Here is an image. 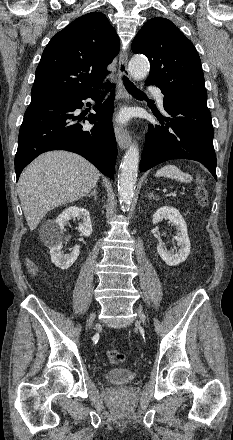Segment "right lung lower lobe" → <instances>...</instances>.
Segmentation results:
<instances>
[{
	"label": "right lung lower lobe",
	"instance_id": "1",
	"mask_svg": "<svg viewBox=\"0 0 233 440\" xmlns=\"http://www.w3.org/2000/svg\"><path fill=\"white\" fill-rule=\"evenodd\" d=\"M98 88L31 101L19 132L15 156L17 179L34 158L50 150L75 152L89 160L104 175L114 178L117 157L111 122L114 92L102 105L94 107L96 114L85 118L95 124L92 129L84 128L79 123L82 118L74 115V111L83 106L82 100L94 98Z\"/></svg>",
	"mask_w": 233,
	"mask_h": 440
}]
</instances>
